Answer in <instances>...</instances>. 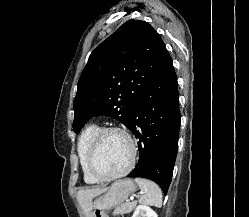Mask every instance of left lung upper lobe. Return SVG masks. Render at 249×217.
I'll return each instance as SVG.
<instances>
[{"label":"left lung upper lobe","mask_w":249,"mask_h":217,"mask_svg":"<svg viewBox=\"0 0 249 217\" xmlns=\"http://www.w3.org/2000/svg\"><path fill=\"white\" fill-rule=\"evenodd\" d=\"M170 57L147 22L131 19L95 48L77 85L73 128L79 133L93 116H110L127 128L139 98Z\"/></svg>","instance_id":"obj_1"}]
</instances>
